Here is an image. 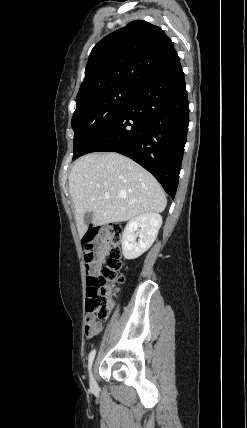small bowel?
<instances>
[{"label":"small bowel","instance_id":"obj_1","mask_svg":"<svg viewBox=\"0 0 247 428\" xmlns=\"http://www.w3.org/2000/svg\"><path fill=\"white\" fill-rule=\"evenodd\" d=\"M98 272V265H95V267L93 268L92 272L93 274H96ZM102 330V324L99 323L97 324V328L95 330V332L93 334L90 335H86L88 338L93 337L94 335L98 334L100 331Z\"/></svg>","mask_w":247,"mask_h":428}]
</instances>
